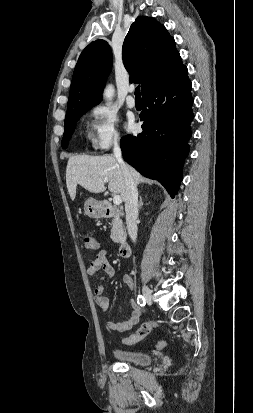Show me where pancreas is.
I'll list each match as a JSON object with an SVG mask.
<instances>
[{
	"label": "pancreas",
	"mask_w": 253,
	"mask_h": 413,
	"mask_svg": "<svg viewBox=\"0 0 253 413\" xmlns=\"http://www.w3.org/2000/svg\"><path fill=\"white\" fill-rule=\"evenodd\" d=\"M111 239L116 243H121L124 241L125 230L123 227L122 220L118 215H115L112 219V228H111Z\"/></svg>",
	"instance_id": "cf45deb5"
}]
</instances>
